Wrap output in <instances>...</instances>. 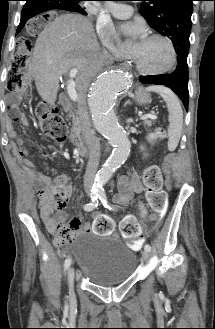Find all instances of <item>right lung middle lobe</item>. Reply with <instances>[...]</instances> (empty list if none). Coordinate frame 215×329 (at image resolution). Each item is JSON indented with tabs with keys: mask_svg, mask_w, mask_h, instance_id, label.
<instances>
[{
	"mask_svg": "<svg viewBox=\"0 0 215 329\" xmlns=\"http://www.w3.org/2000/svg\"><path fill=\"white\" fill-rule=\"evenodd\" d=\"M70 6H72L76 11L84 10L83 1L85 0H66Z\"/></svg>",
	"mask_w": 215,
	"mask_h": 329,
	"instance_id": "obj_1",
	"label": "right lung middle lobe"
}]
</instances>
